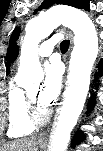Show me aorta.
Returning a JSON list of instances; mask_svg holds the SVG:
<instances>
[{"label": "aorta", "instance_id": "762f6f07", "mask_svg": "<svg viewBox=\"0 0 103 151\" xmlns=\"http://www.w3.org/2000/svg\"><path fill=\"white\" fill-rule=\"evenodd\" d=\"M61 24L73 30L74 48L69 64L68 87L49 151L67 149L71 131L86 101L92 68L98 55V36L88 15L70 7H52L31 19L26 25L20 54L19 77H29L33 72L41 70L38 45Z\"/></svg>", "mask_w": 103, "mask_h": 151}]
</instances>
